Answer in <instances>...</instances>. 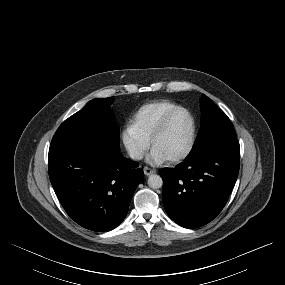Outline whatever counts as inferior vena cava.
<instances>
[{"mask_svg":"<svg viewBox=\"0 0 285 285\" xmlns=\"http://www.w3.org/2000/svg\"><path fill=\"white\" fill-rule=\"evenodd\" d=\"M130 157L134 160H141L142 159V154L140 152H131Z\"/></svg>","mask_w":285,"mask_h":285,"instance_id":"1","label":"inferior vena cava"}]
</instances>
